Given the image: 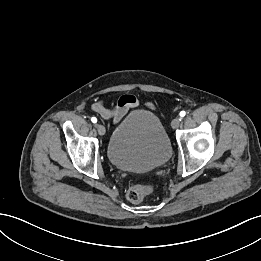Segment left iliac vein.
I'll use <instances>...</instances> for the list:
<instances>
[{"label": "left iliac vein", "instance_id": "4c4485c4", "mask_svg": "<svg viewBox=\"0 0 261 261\" xmlns=\"http://www.w3.org/2000/svg\"><path fill=\"white\" fill-rule=\"evenodd\" d=\"M181 123V119L180 118H175L173 119V121L171 122V126L173 129H176L180 126Z\"/></svg>", "mask_w": 261, "mask_h": 261}]
</instances>
